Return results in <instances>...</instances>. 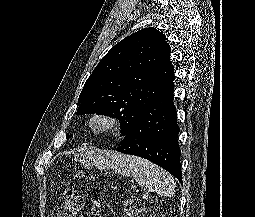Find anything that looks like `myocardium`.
I'll return each mask as SVG.
<instances>
[{"mask_svg": "<svg viewBox=\"0 0 255 217\" xmlns=\"http://www.w3.org/2000/svg\"><path fill=\"white\" fill-rule=\"evenodd\" d=\"M85 125L93 135H107L118 129L119 119L110 112L95 111L87 117Z\"/></svg>", "mask_w": 255, "mask_h": 217, "instance_id": "1", "label": "myocardium"}]
</instances>
